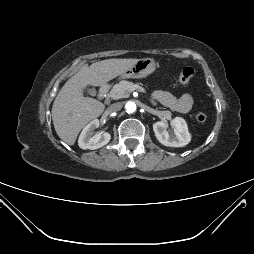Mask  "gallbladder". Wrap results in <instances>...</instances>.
<instances>
[{
    "label": "gallbladder",
    "instance_id": "obj_1",
    "mask_svg": "<svg viewBox=\"0 0 254 254\" xmlns=\"http://www.w3.org/2000/svg\"><path fill=\"white\" fill-rule=\"evenodd\" d=\"M88 94L94 96L96 94V91L94 89H87L86 90Z\"/></svg>",
    "mask_w": 254,
    "mask_h": 254
}]
</instances>
